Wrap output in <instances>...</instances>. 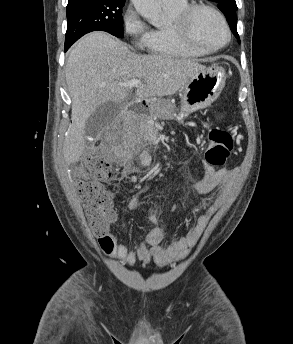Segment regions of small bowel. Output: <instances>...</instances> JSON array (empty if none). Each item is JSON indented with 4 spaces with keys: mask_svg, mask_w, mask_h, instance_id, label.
Segmentation results:
<instances>
[{
    "mask_svg": "<svg viewBox=\"0 0 293 344\" xmlns=\"http://www.w3.org/2000/svg\"><path fill=\"white\" fill-rule=\"evenodd\" d=\"M142 157L145 160L148 159L147 154H143ZM236 174L235 170L215 169L207 163H203V175L195 184L196 192L199 195H207L218 187H222V190L198 215L195 224L181 237L172 239L165 245V233L159 226L158 215L151 210L148 212V216L156 226L147 232L145 239L137 247L131 249L126 244L118 242L116 237L109 232L112 222L99 239L102 251L107 256L118 259L128 266L138 259L143 263H149L153 260L158 266L164 267L185 258L190 249L198 242L210 218L226 199L234 184ZM128 207L139 209L141 208V202L137 197H132L128 201Z\"/></svg>",
    "mask_w": 293,
    "mask_h": 344,
    "instance_id": "c3829d8e",
    "label": "small bowel"
}]
</instances>
